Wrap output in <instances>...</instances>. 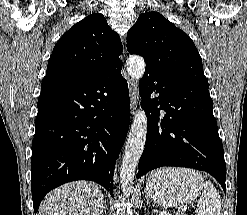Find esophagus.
Listing matches in <instances>:
<instances>
[{
  "mask_svg": "<svg viewBox=\"0 0 247 215\" xmlns=\"http://www.w3.org/2000/svg\"><path fill=\"white\" fill-rule=\"evenodd\" d=\"M128 86H129V91H130V96H131V107L133 108V110H135L136 105H137V100H138L137 84L135 81L129 79Z\"/></svg>",
  "mask_w": 247,
  "mask_h": 215,
  "instance_id": "1",
  "label": "esophagus"
}]
</instances>
